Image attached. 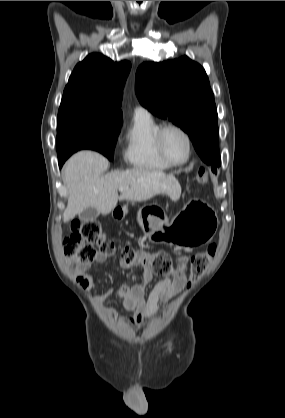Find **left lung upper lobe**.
<instances>
[{
	"instance_id": "obj_1",
	"label": "left lung upper lobe",
	"mask_w": 285,
	"mask_h": 418,
	"mask_svg": "<svg viewBox=\"0 0 285 418\" xmlns=\"http://www.w3.org/2000/svg\"><path fill=\"white\" fill-rule=\"evenodd\" d=\"M135 88L142 106L189 135L206 164L213 168L221 164L217 109L202 66L187 56L145 62L136 72Z\"/></svg>"
}]
</instances>
